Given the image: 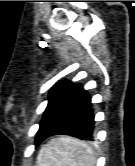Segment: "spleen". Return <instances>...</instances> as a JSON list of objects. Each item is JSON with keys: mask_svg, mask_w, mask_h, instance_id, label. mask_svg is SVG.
I'll return each mask as SVG.
<instances>
[{"mask_svg": "<svg viewBox=\"0 0 135 166\" xmlns=\"http://www.w3.org/2000/svg\"><path fill=\"white\" fill-rule=\"evenodd\" d=\"M93 149L84 141L61 136L45 144L38 156L36 166H95Z\"/></svg>", "mask_w": 135, "mask_h": 166, "instance_id": "1", "label": "spleen"}]
</instances>
